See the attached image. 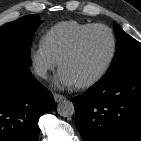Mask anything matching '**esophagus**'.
<instances>
[{
  "instance_id": "34e87169",
  "label": "esophagus",
  "mask_w": 141,
  "mask_h": 141,
  "mask_svg": "<svg viewBox=\"0 0 141 141\" xmlns=\"http://www.w3.org/2000/svg\"><path fill=\"white\" fill-rule=\"evenodd\" d=\"M53 97H54L55 102H57V103H59V102H61L62 100L65 99V96H63L61 94H57V93H55L53 95Z\"/></svg>"
}]
</instances>
